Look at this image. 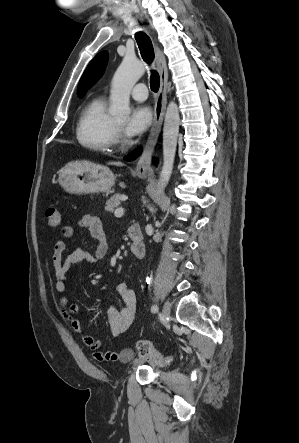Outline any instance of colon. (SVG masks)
<instances>
[{"label": "colon", "instance_id": "colon-1", "mask_svg": "<svg viewBox=\"0 0 299 443\" xmlns=\"http://www.w3.org/2000/svg\"><path fill=\"white\" fill-rule=\"evenodd\" d=\"M47 225L51 228L58 227L61 223V213L57 206L52 205L45 211ZM136 347L139 354L144 360L152 364L153 366L167 369L171 364V360L162 357L157 351L153 349L151 344L145 340H138Z\"/></svg>", "mask_w": 299, "mask_h": 443}]
</instances>
